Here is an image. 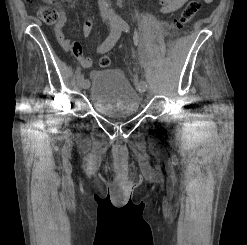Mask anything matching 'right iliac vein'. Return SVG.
Listing matches in <instances>:
<instances>
[{"label":"right iliac vein","mask_w":247,"mask_h":245,"mask_svg":"<svg viewBox=\"0 0 247 245\" xmlns=\"http://www.w3.org/2000/svg\"><path fill=\"white\" fill-rule=\"evenodd\" d=\"M84 82L85 83L83 85H79L80 90L86 89L89 87V82L87 80H84Z\"/></svg>","instance_id":"63e3f726"}]
</instances>
